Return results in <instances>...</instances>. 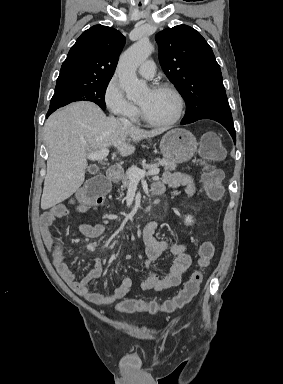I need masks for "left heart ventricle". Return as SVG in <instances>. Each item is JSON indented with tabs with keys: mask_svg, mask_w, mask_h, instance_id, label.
I'll return each mask as SVG.
<instances>
[{
	"mask_svg": "<svg viewBox=\"0 0 283 384\" xmlns=\"http://www.w3.org/2000/svg\"><path fill=\"white\" fill-rule=\"evenodd\" d=\"M144 115L155 122H166L174 117L177 103L174 96L165 90L148 89L139 98Z\"/></svg>",
	"mask_w": 283,
	"mask_h": 384,
	"instance_id": "1",
	"label": "left heart ventricle"
}]
</instances>
